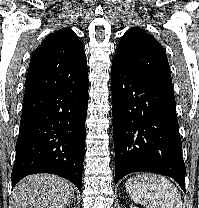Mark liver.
Instances as JSON below:
<instances>
[{
  "instance_id": "1",
  "label": "liver",
  "mask_w": 199,
  "mask_h": 208,
  "mask_svg": "<svg viewBox=\"0 0 199 208\" xmlns=\"http://www.w3.org/2000/svg\"><path fill=\"white\" fill-rule=\"evenodd\" d=\"M75 187L51 174H34L22 179L13 192V208H64L74 198Z\"/></svg>"
}]
</instances>
